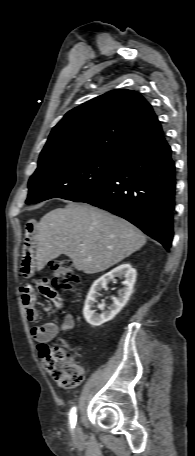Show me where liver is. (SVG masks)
Here are the masks:
<instances>
[{"instance_id":"obj_1","label":"liver","mask_w":195,"mask_h":456,"mask_svg":"<svg viewBox=\"0 0 195 456\" xmlns=\"http://www.w3.org/2000/svg\"><path fill=\"white\" fill-rule=\"evenodd\" d=\"M36 239L37 270L65 254L86 274L112 267L146 243L144 234L125 219L75 203L45 214Z\"/></svg>"}]
</instances>
